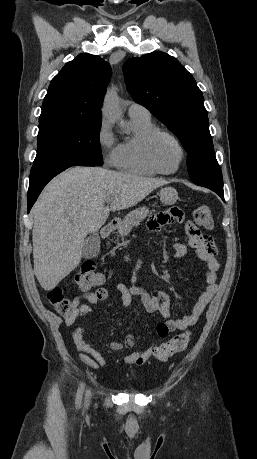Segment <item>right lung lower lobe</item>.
<instances>
[{
    "label": "right lung lower lobe",
    "instance_id": "obj_1",
    "mask_svg": "<svg viewBox=\"0 0 257 459\" xmlns=\"http://www.w3.org/2000/svg\"><path fill=\"white\" fill-rule=\"evenodd\" d=\"M75 165L96 166L97 164L82 158H63L32 166L28 190V213L45 185L57 174Z\"/></svg>",
    "mask_w": 257,
    "mask_h": 459
}]
</instances>
